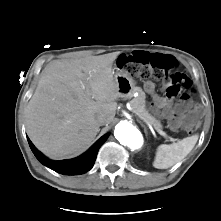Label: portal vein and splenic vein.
Wrapping results in <instances>:
<instances>
[{"instance_id": "1", "label": "portal vein and splenic vein", "mask_w": 221, "mask_h": 221, "mask_svg": "<svg viewBox=\"0 0 221 221\" xmlns=\"http://www.w3.org/2000/svg\"><path fill=\"white\" fill-rule=\"evenodd\" d=\"M148 126L150 127V128H152V125H150L149 123H148ZM155 128V130L160 134V135H162L164 138H166V139H170V141H174L173 139H171L164 131H162L161 129H159V128H156V127H154Z\"/></svg>"}]
</instances>
